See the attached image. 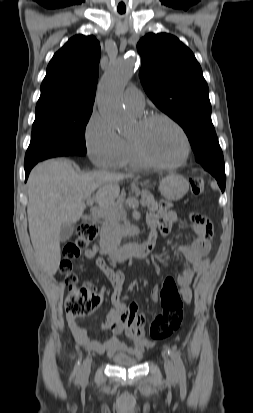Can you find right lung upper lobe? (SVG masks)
I'll list each match as a JSON object with an SVG mask.
<instances>
[{"mask_svg": "<svg viewBox=\"0 0 253 413\" xmlns=\"http://www.w3.org/2000/svg\"><path fill=\"white\" fill-rule=\"evenodd\" d=\"M100 53V44L92 35L69 39L49 62L36 113L92 109Z\"/></svg>", "mask_w": 253, "mask_h": 413, "instance_id": "1", "label": "right lung upper lobe"}]
</instances>
